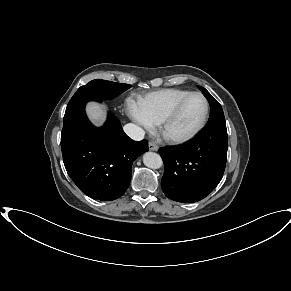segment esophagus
I'll list each match as a JSON object with an SVG mask.
<instances>
[{"instance_id":"obj_1","label":"esophagus","mask_w":291,"mask_h":291,"mask_svg":"<svg viewBox=\"0 0 291 291\" xmlns=\"http://www.w3.org/2000/svg\"><path fill=\"white\" fill-rule=\"evenodd\" d=\"M148 146H149V149L151 151H157L158 148H159L158 145L155 142H152V141L149 142Z\"/></svg>"}]
</instances>
